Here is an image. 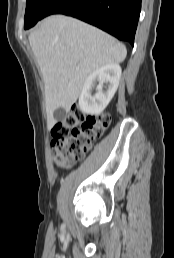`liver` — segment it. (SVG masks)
Wrapping results in <instances>:
<instances>
[{"mask_svg":"<svg viewBox=\"0 0 174 258\" xmlns=\"http://www.w3.org/2000/svg\"><path fill=\"white\" fill-rule=\"evenodd\" d=\"M29 42L45 85L48 128L56 123L57 108L70 110L91 73L121 63L127 55L126 47L110 35L64 15L45 18Z\"/></svg>","mask_w":174,"mask_h":258,"instance_id":"6515ba94","label":"liver"}]
</instances>
